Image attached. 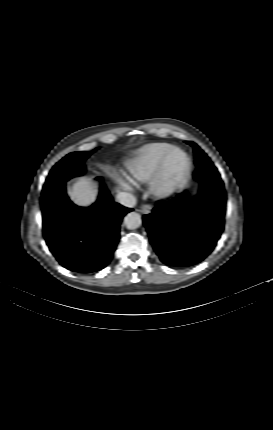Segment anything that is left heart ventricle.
Wrapping results in <instances>:
<instances>
[{
    "label": "left heart ventricle",
    "instance_id": "b2bd125f",
    "mask_svg": "<svg viewBox=\"0 0 273 430\" xmlns=\"http://www.w3.org/2000/svg\"><path fill=\"white\" fill-rule=\"evenodd\" d=\"M185 167V160L180 154H174L168 163V176L174 178L178 176Z\"/></svg>",
    "mask_w": 273,
    "mask_h": 430
}]
</instances>
